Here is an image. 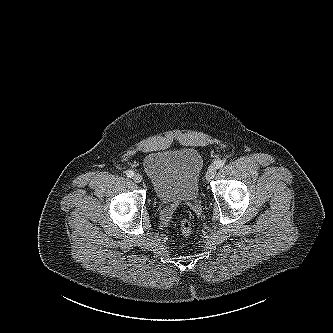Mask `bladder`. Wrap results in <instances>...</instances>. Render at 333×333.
I'll list each match as a JSON object with an SVG mask.
<instances>
[{
	"instance_id": "31cf9c89",
	"label": "bladder",
	"mask_w": 333,
	"mask_h": 333,
	"mask_svg": "<svg viewBox=\"0 0 333 333\" xmlns=\"http://www.w3.org/2000/svg\"><path fill=\"white\" fill-rule=\"evenodd\" d=\"M203 167L201 154L193 148L155 151L143 160L154 194L163 203L195 200Z\"/></svg>"
}]
</instances>
